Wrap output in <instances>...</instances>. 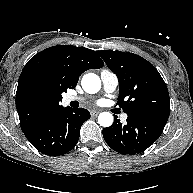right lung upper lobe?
I'll return each instance as SVG.
<instances>
[{
    "label": "right lung upper lobe",
    "mask_w": 193,
    "mask_h": 193,
    "mask_svg": "<svg viewBox=\"0 0 193 193\" xmlns=\"http://www.w3.org/2000/svg\"><path fill=\"white\" fill-rule=\"evenodd\" d=\"M103 65L95 51L70 45L53 46L33 56L22 70L16 92L23 133L63 108L61 94L74 88L84 71Z\"/></svg>",
    "instance_id": "obj_1"
}]
</instances>
